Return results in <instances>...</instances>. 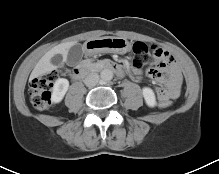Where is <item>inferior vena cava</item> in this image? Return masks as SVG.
Segmentation results:
<instances>
[{"mask_svg": "<svg viewBox=\"0 0 219 174\" xmlns=\"http://www.w3.org/2000/svg\"><path fill=\"white\" fill-rule=\"evenodd\" d=\"M99 82V75L97 73H90L84 79V83L88 87H94Z\"/></svg>", "mask_w": 219, "mask_h": 174, "instance_id": "602c4592", "label": "inferior vena cava"}]
</instances>
